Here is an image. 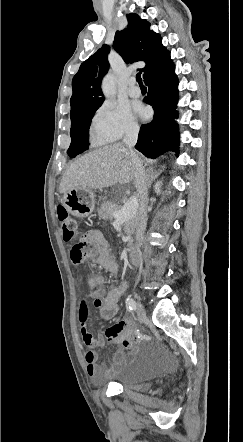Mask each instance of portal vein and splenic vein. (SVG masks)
I'll use <instances>...</instances> for the list:
<instances>
[{
  "label": "portal vein and splenic vein",
  "instance_id": "obj_1",
  "mask_svg": "<svg viewBox=\"0 0 243 442\" xmlns=\"http://www.w3.org/2000/svg\"><path fill=\"white\" fill-rule=\"evenodd\" d=\"M135 211H136V203L134 199H131L128 203L124 205L123 208L113 212V217L116 222L126 221L131 217H133Z\"/></svg>",
  "mask_w": 243,
  "mask_h": 442
}]
</instances>
